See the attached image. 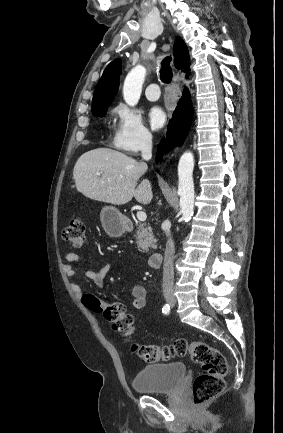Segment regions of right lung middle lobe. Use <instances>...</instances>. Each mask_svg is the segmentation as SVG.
Segmentation results:
<instances>
[{"label":"right lung middle lobe","mask_w":283,"mask_h":433,"mask_svg":"<svg viewBox=\"0 0 283 433\" xmlns=\"http://www.w3.org/2000/svg\"><path fill=\"white\" fill-rule=\"evenodd\" d=\"M107 107L108 106L99 108L97 110L92 111V113L96 117H103L105 115L106 111H107Z\"/></svg>","instance_id":"right-lung-middle-lobe-1"}]
</instances>
